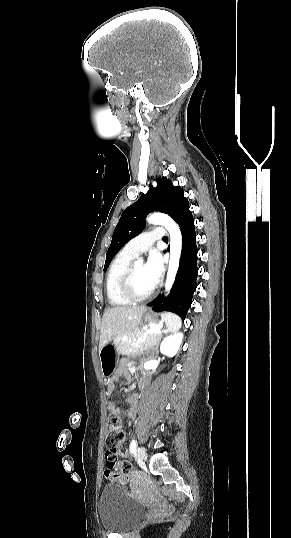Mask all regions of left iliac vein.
Masks as SVG:
<instances>
[{
	"label": "left iliac vein",
	"mask_w": 291,
	"mask_h": 538,
	"mask_svg": "<svg viewBox=\"0 0 291 538\" xmlns=\"http://www.w3.org/2000/svg\"><path fill=\"white\" fill-rule=\"evenodd\" d=\"M136 456H137L138 461L143 462L146 458V452L144 448L138 447Z\"/></svg>",
	"instance_id": "4c4485c4"
}]
</instances>
